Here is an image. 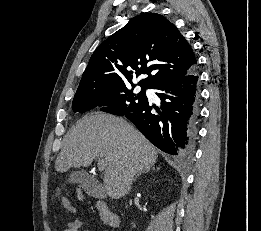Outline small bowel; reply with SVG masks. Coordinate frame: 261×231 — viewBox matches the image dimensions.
<instances>
[{
	"label": "small bowel",
	"mask_w": 261,
	"mask_h": 231,
	"mask_svg": "<svg viewBox=\"0 0 261 231\" xmlns=\"http://www.w3.org/2000/svg\"><path fill=\"white\" fill-rule=\"evenodd\" d=\"M59 203L65 211H67L69 213L75 212L73 203L67 197L62 196L59 199ZM81 227H82V222L80 220H74V221L70 222L67 225V228H65L63 231H81ZM84 231H88V230H84Z\"/></svg>",
	"instance_id": "obj_1"
}]
</instances>
